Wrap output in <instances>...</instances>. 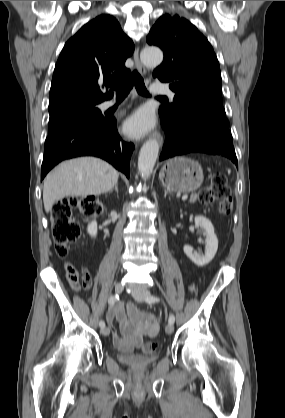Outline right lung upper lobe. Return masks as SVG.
<instances>
[{
	"mask_svg": "<svg viewBox=\"0 0 285 418\" xmlns=\"http://www.w3.org/2000/svg\"><path fill=\"white\" fill-rule=\"evenodd\" d=\"M134 44L111 15H100L70 38L55 66L49 107L74 101L101 103L112 98L103 94L100 84L123 79L129 69L126 59Z\"/></svg>",
	"mask_w": 285,
	"mask_h": 418,
	"instance_id": "obj_1",
	"label": "right lung upper lobe"
}]
</instances>
